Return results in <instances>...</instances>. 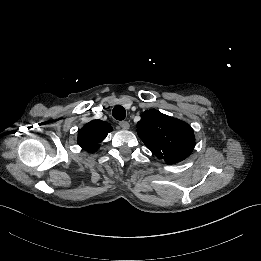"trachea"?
Returning a JSON list of instances; mask_svg holds the SVG:
<instances>
[{
	"mask_svg": "<svg viewBox=\"0 0 261 261\" xmlns=\"http://www.w3.org/2000/svg\"><path fill=\"white\" fill-rule=\"evenodd\" d=\"M112 115L117 120H124L126 117V110L121 105H116L113 108Z\"/></svg>",
	"mask_w": 261,
	"mask_h": 261,
	"instance_id": "trachea-1",
	"label": "trachea"
}]
</instances>
